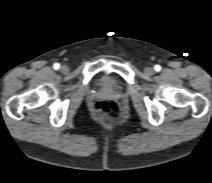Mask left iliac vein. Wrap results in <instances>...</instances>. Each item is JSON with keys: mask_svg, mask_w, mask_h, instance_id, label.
Instances as JSON below:
<instances>
[{"mask_svg": "<svg viewBox=\"0 0 212 183\" xmlns=\"http://www.w3.org/2000/svg\"><path fill=\"white\" fill-rule=\"evenodd\" d=\"M144 72L146 75L151 76L154 74V69L152 67H146Z\"/></svg>", "mask_w": 212, "mask_h": 183, "instance_id": "left-iliac-vein-1", "label": "left iliac vein"}]
</instances>
